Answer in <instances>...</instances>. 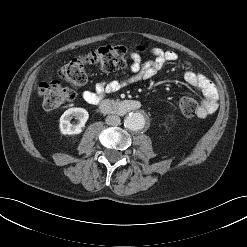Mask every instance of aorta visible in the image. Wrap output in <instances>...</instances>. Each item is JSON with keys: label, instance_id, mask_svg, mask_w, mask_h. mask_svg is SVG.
Returning a JSON list of instances; mask_svg holds the SVG:
<instances>
[{"label": "aorta", "instance_id": "762f6f07", "mask_svg": "<svg viewBox=\"0 0 247 247\" xmlns=\"http://www.w3.org/2000/svg\"><path fill=\"white\" fill-rule=\"evenodd\" d=\"M145 117L139 112L130 113L124 119V125L126 128L132 131H138L144 128L145 126Z\"/></svg>", "mask_w": 247, "mask_h": 247}]
</instances>
